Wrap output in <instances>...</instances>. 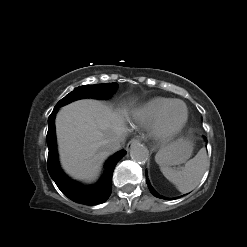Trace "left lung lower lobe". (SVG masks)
Segmentation results:
<instances>
[{
  "instance_id": "left-lung-lower-lobe-1",
  "label": "left lung lower lobe",
  "mask_w": 247,
  "mask_h": 247,
  "mask_svg": "<svg viewBox=\"0 0 247 247\" xmlns=\"http://www.w3.org/2000/svg\"><path fill=\"white\" fill-rule=\"evenodd\" d=\"M146 183L148 184V188L150 190V192L157 198H161V199H169V198H166V197H163L161 196L160 194H158L154 189L153 187L151 186L150 182H149V179L147 177V172H146Z\"/></svg>"
}]
</instances>
